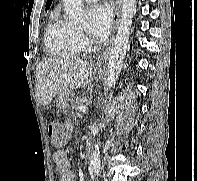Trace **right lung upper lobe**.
<instances>
[{"label":"right lung upper lobe","mask_w":197,"mask_h":181,"mask_svg":"<svg viewBox=\"0 0 197 181\" xmlns=\"http://www.w3.org/2000/svg\"><path fill=\"white\" fill-rule=\"evenodd\" d=\"M51 3H52V0H47L46 10L50 8Z\"/></svg>","instance_id":"right-lung-upper-lobe-1"}]
</instances>
